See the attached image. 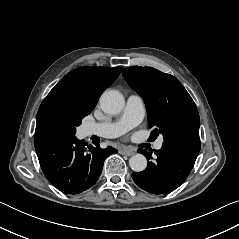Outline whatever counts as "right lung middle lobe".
Masks as SVG:
<instances>
[{"label": "right lung middle lobe", "mask_w": 239, "mask_h": 239, "mask_svg": "<svg viewBox=\"0 0 239 239\" xmlns=\"http://www.w3.org/2000/svg\"><path fill=\"white\" fill-rule=\"evenodd\" d=\"M92 110L93 108L63 93H54L48 95L40 105L36 128L58 127L75 133L76 127Z\"/></svg>", "instance_id": "right-lung-middle-lobe-1"}]
</instances>
